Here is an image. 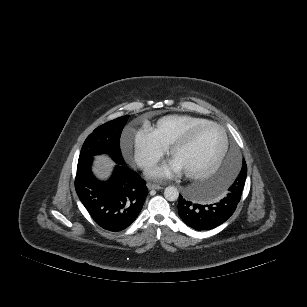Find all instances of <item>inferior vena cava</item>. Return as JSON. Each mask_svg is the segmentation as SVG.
<instances>
[{"mask_svg":"<svg viewBox=\"0 0 307 307\" xmlns=\"http://www.w3.org/2000/svg\"><path fill=\"white\" fill-rule=\"evenodd\" d=\"M157 163V159L155 158H147L140 161L139 165L144 167H151Z\"/></svg>","mask_w":307,"mask_h":307,"instance_id":"602c4592","label":"inferior vena cava"}]
</instances>
